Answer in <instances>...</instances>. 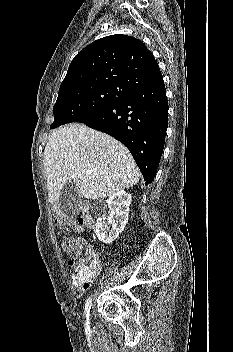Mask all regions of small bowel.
<instances>
[{
  "instance_id": "c3829d8e",
  "label": "small bowel",
  "mask_w": 233,
  "mask_h": 352,
  "mask_svg": "<svg viewBox=\"0 0 233 352\" xmlns=\"http://www.w3.org/2000/svg\"><path fill=\"white\" fill-rule=\"evenodd\" d=\"M97 260V259H96ZM98 261V260H97ZM99 262V261H98ZM100 264V262H99ZM69 267L71 268V273H72V262L70 261L69 262ZM99 274V273H98ZM98 274H96L95 276L91 277L90 279L88 280H80V279H77L75 278L73 275H72V281H73V284L78 288L79 291H86L90 288L93 280L98 276Z\"/></svg>"
}]
</instances>
